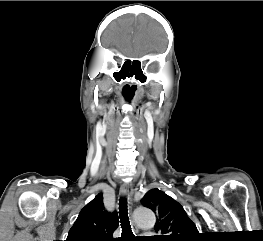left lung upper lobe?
<instances>
[{"instance_id": "5c2ea615", "label": "left lung upper lobe", "mask_w": 263, "mask_h": 241, "mask_svg": "<svg viewBox=\"0 0 263 241\" xmlns=\"http://www.w3.org/2000/svg\"><path fill=\"white\" fill-rule=\"evenodd\" d=\"M142 204L157 216L155 231L161 233L150 237L153 241H199L196 225L187 216L183 207L163 191L155 188L148 191Z\"/></svg>"}]
</instances>
